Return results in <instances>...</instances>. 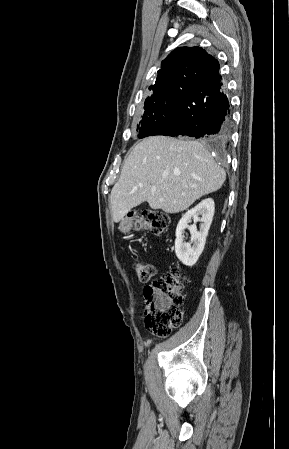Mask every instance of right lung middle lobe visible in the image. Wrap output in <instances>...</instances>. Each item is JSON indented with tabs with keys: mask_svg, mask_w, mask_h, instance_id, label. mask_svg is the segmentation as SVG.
Masks as SVG:
<instances>
[{
	"mask_svg": "<svg viewBox=\"0 0 289 449\" xmlns=\"http://www.w3.org/2000/svg\"><path fill=\"white\" fill-rule=\"evenodd\" d=\"M144 109L139 138L153 135L161 124L174 120L177 114L173 96L169 92L147 97Z\"/></svg>",
	"mask_w": 289,
	"mask_h": 449,
	"instance_id": "1",
	"label": "right lung middle lobe"
}]
</instances>
